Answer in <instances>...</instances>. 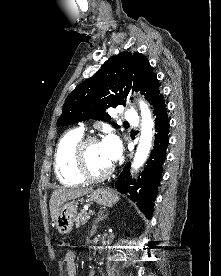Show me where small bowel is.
<instances>
[{"label": "small bowel", "instance_id": "small-bowel-1", "mask_svg": "<svg viewBox=\"0 0 221 276\" xmlns=\"http://www.w3.org/2000/svg\"><path fill=\"white\" fill-rule=\"evenodd\" d=\"M64 266L68 276H76L77 265H76V255L73 250L67 251L64 257ZM89 276H94V269L90 270Z\"/></svg>", "mask_w": 221, "mask_h": 276}]
</instances>
